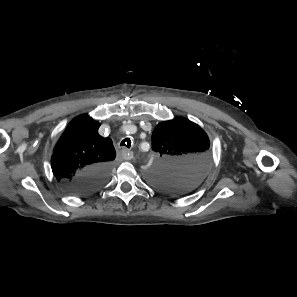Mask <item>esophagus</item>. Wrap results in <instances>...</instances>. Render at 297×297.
I'll return each instance as SVG.
<instances>
[{
	"label": "esophagus",
	"instance_id": "34e87169",
	"mask_svg": "<svg viewBox=\"0 0 297 297\" xmlns=\"http://www.w3.org/2000/svg\"><path fill=\"white\" fill-rule=\"evenodd\" d=\"M121 154H122L123 159H125V160H131L134 156L133 152L126 148H123L121 150Z\"/></svg>",
	"mask_w": 297,
	"mask_h": 297
}]
</instances>
